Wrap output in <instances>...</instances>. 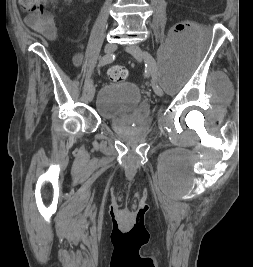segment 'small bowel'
<instances>
[{"label": "small bowel", "instance_id": "small-bowel-1", "mask_svg": "<svg viewBox=\"0 0 253 267\" xmlns=\"http://www.w3.org/2000/svg\"><path fill=\"white\" fill-rule=\"evenodd\" d=\"M25 23L30 29L42 35L47 40L53 42L57 39V29L54 23L53 15L51 13L29 14L25 18ZM82 61L83 53L80 52L75 55L74 64L79 66Z\"/></svg>", "mask_w": 253, "mask_h": 267}]
</instances>
